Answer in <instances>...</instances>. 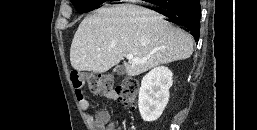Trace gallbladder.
Returning <instances> with one entry per match:
<instances>
[{
  "instance_id": "gallbladder-1",
  "label": "gallbladder",
  "mask_w": 257,
  "mask_h": 130,
  "mask_svg": "<svg viewBox=\"0 0 257 130\" xmlns=\"http://www.w3.org/2000/svg\"><path fill=\"white\" fill-rule=\"evenodd\" d=\"M114 72L118 75H123L125 73V68L123 66H117Z\"/></svg>"
}]
</instances>
